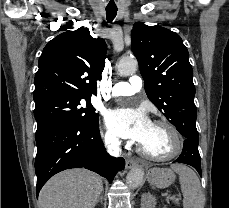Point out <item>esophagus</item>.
<instances>
[{"instance_id": "34e87169", "label": "esophagus", "mask_w": 229, "mask_h": 208, "mask_svg": "<svg viewBox=\"0 0 229 208\" xmlns=\"http://www.w3.org/2000/svg\"><path fill=\"white\" fill-rule=\"evenodd\" d=\"M125 164H126V168L131 170L138 165V162L135 159L127 158Z\"/></svg>"}]
</instances>
